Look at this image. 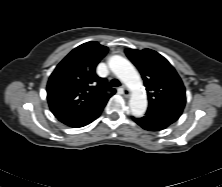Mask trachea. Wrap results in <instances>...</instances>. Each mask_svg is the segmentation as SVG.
Listing matches in <instances>:
<instances>
[{
    "label": "trachea",
    "mask_w": 222,
    "mask_h": 187,
    "mask_svg": "<svg viewBox=\"0 0 222 187\" xmlns=\"http://www.w3.org/2000/svg\"><path fill=\"white\" fill-rule=\"evenodd\" d=\"M110 85L112 87H119L121 85V83L118 79H112L111 82H110Z\"/></svg>",
    "instance_id": "1"
}]
</instances>
